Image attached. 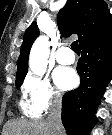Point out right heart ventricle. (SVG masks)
I'll list each match as a JSON object with an SVG mask.
<instances>
[{
    "instance_id": "obj_1",
    "label": "right heart ventricle",
    "mask_w": 112,
    "mask_h": 135,
    "mask_svg": "<svg viewBox=\"0 0 112 135\" xmlns=\"http://www.w3.org/2000/svg\"><path fill=\"white\" fill-rule=\"evenodd\" d=\"M20 108H21V111L23 112V114H25L26 116L36 118V117H39V115H40L36 110H34L30 106V104L28 103V101L26 99H21Z\"/></svg>"
}]
</instances>
